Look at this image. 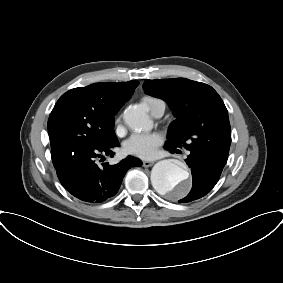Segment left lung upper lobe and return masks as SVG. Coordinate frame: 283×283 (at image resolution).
Here are the masks:
<instances>
[{
  "label": "left lung upper lobe",
  "mask_w": 283,
  "mask_h": 283,
  "mask_svg": "<svg viewBox=\"0 0 283 283\" xmlns=\"http://www.w3.org/2000/svg\"><path fill=\"white\" fill-rule=\"evenodd\" d=\"M145 92L164 99L176 117L165 145L228 158L231 128L228 111L209 85L185 78L146 80Z\"/></svg>",
  "instance_id": "1"
}]
</instances>
